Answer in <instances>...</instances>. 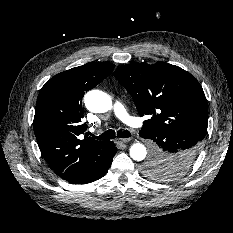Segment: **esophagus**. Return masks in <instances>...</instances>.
Wrapping results in <instances>:
<instances>
[{"label": "esophagus", "mask_w": 233, "mask_h": 233, "mask_svg": "<svg viewBox=\"0 0 233 233\" xmlns=\"http://www.w3.org/2000/svg\"><path fill=\"white\" fill-rule=\"evenodd\" d=\"M131 139L130 138H117L115 140L116 144H124L129 142Z\"/></svg>", "instance_id": "obj_1"}]
</instances>
